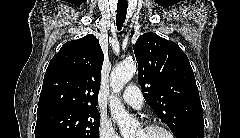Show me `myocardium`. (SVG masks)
I'll return each mask as SVG.
<instances>
[{"instance_id": "obj_1", "label": "myocardium", "mask_w": 240, "mask_h": 138, "mask_svg": "<svg viewBox=\"0 0 240 138\" xmlns=\"http://www.w3.org/2000/svg\"><path fill=\"white\" fill-rule=\"evenodd\" d=\"M144 129L148 131H161L166 134L167 138H174L172 132L168 128L157 123H149L144 127Z\"/></svg>"}]
</instances>
